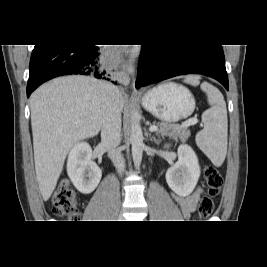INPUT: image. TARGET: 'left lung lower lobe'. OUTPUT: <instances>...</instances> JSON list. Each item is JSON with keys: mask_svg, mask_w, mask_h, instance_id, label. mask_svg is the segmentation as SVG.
Masks as SVG:
<instances>
[{"mask_svg": "<svg viewBox=\"0 0 267 267\" xmlns=\"http://www.w3.org/2000/svg\"><path fill=\"white\" fill-rule=\"evenodd\" d=\"M185 74L212 77L228 90L221 45H142L136 88Z\"/></svg>", "mask_w": 267, "mask_h": 267, "instance_id": "obj_1", "label": "left lung lower lobe"}]
</instances>
